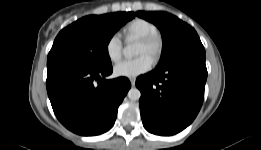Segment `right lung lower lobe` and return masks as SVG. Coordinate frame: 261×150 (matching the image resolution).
Here are the masks:
<instances>
[{
	"mask_svg": "<svg viewBox=\"0 0 261 150\" xmlns=\"http://www.w3.org/2000/svg\"><path fill=\"white\" fill-rule=\"evenodd\" d=\"M112 65L87 69L72 65L48 68L47 92L58 120L70 131L93 136L108 131L131 87L125 77L106 80Z\"/></svg>",
	"mask_w": 261,
	"mask_h": 150,
	"instance_id": "1",
	"label": "right lung lower lobe"
}]
</instances>
